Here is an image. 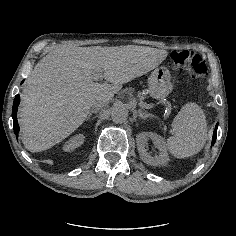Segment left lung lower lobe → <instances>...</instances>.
Returning <instances> with one entry per match:
<instances>
[{
	"label": "left lung lower lobe",
	"instance_id": "1",
	"mask_svg": "<svg viewBox=\"0 0 236 236\" xmlns=\"http://www.w3.org/2000/svg\"><path fill=\"white\" fill-rule=\"evenodd\" d=\"M217 127H218V124H216V126H215V130H214L213 138H212V145H214V144H215V141H216Z\"/></svg>",
	"mask_w": 236,
	"mask_h": 236
}]
</instances>
